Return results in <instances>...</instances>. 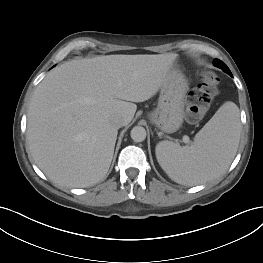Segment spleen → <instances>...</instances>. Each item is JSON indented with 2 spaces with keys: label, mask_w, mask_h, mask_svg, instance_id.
Masks as SVG:
<instances>
[{
  "label": "spleen",
  "mask_w": 263,
  "mask_h": 263,
  "mask_svg": "<svg viewBox=\"0 0 263 263\" xmlns=\"http://www.w3.org/2000/svg\"><path fill=\"white\" fill-rule=\"evenodd\" d=\"M240 132L239 108L226 102L196 134L191 146L160 141L156 145L158 163L173 181L182 185L193 186L217 178L234 159Z\"/></svg>",
  "instance_id": "spleen-1"
}]
</instances>
